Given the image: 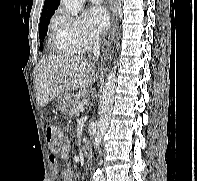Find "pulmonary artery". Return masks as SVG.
Masks as SVG:
<instances>
[{
    "mask_svg": "<svg viewBox=\"0 0 197 181\" xmlns=\"http://www.w3.org/2000/svg\"><path fill=\"white\" fill-rule=\"evenodd\" d=\"M94 4H100L103 2V0H90Z\"/></svg>",
    "mask_w": 197,
    "mask_h": 181,
    "instance_id": "e3ab8cb5",
    "label": "pulmonary artery"
}]
</instances>
